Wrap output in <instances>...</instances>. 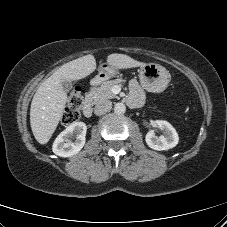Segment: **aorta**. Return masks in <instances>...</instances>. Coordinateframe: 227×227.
Instances as JSON below:
<instances>
[{
  "label": "aorta",
  "instance_id": "762f6f07",
  "mask_svg": "<svg viewBox=\"0 0 227 227\" xmlns=\"http://www.w3.org/2000/svg\"><path fill=\"white\" fill-rule=\"evenodd\" d=\"M114 112L116 114H124L126 112V106L123 103H116L114 106Z\"/></svg>",
  "mask_w": 227,
  "mask_h": 227
}]
</instances>
